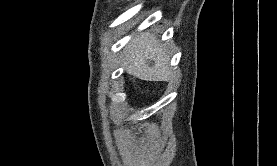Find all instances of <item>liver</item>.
I'll return each instance as SVG.
<instances>
[{
	"instance_id": "1",
	"label": "liver",
	"mask_w": 277,
	"mask_h": 166,
	"mask_svg": "<svg viewBox=\"0 0 277 166\" xmlns=\"http://www.w3.org/2000/svg\"><path fill=\"white\" fill-rule=\"evenodd\" d=\"M125 59L127 72L139 79L160 81L167 80L172 75L165 47L149 33L137 35L128 43ZM149 59L154 61L153 67L147 66Z\"/></svg>"
}]
</instances>
